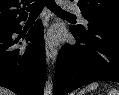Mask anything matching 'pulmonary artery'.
Segmentation results:
<instances>
[{
  "instance_id": "pulmonary-artery-1",
  "label": "pulmonary artery",
  "mask_w": 119,
  "mask_h": 95,
  "mask_svg": "<svg viewBox=\"0 0 119 95\" xmlns=\"http://www.w3.org/2000/svg\"><path fill=\"white\" fill-rule=\"evenodd\" d=\"M66 8H67L69 11L76 12V13L80 14V10H79V8L76 7V6H74V5H70V4H68V5H66ZM82 21H83L84 23L87 22V20L84 19L83 17H82Z\"/></svg>"
}]
</instances>
